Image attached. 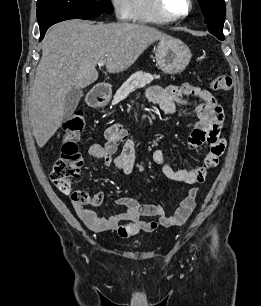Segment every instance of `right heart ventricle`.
Masks as SVG:
<instances>
[{"label": "right heart ventricle", "mask_w": 261, "mask_h": 306, "mask_svg": "<svg viewBox=\"0 0 261 306\" xmlns=\"http://www.w3.org/2000/svg\"><path fill=\"white\" fill-rule=\"evenodd\" d=\"M129 19L141 23L164 24L167 21L155 9L153 0H130Z\"/></svg>", "instance_id": "e07e8e85"}]
</instances>
